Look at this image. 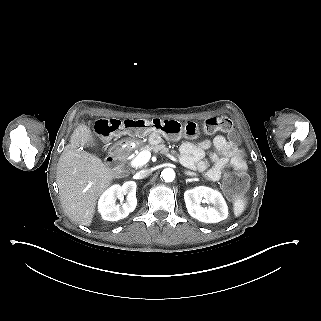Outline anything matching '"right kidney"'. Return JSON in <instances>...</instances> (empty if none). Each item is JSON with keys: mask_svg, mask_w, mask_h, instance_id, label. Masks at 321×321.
<instances>
[{"mask_svg": "<svg viewBox=\"0 0 321 321\" xmlns=\"http://www.w3.org/2000/svg\"><path fill=\"white\" fill-rule=\"evenodd\" d=\"M136 187L135 181H127L122 186L115 184L107 189L98 201V211L102 218L107 221H118L133 212L137 205ZM126 194V203L122 206L116 204V200H122Z\"/></svg>", "mask_w": 321, "mask_h": 321, "instance_id": "obj_1", "label": "right kidney"}]
</instances>
